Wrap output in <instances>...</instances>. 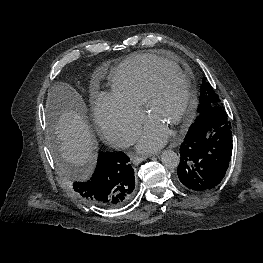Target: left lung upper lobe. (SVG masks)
<instances>
[{"label":"left lung upper lobe","mask_w":263,"mask_h":263,"mask_svg":"<svg viewBox=\"0 0 263 263\" xmlns=\"http://www.w3.org/2000/svg\"><path fill=\"white\" fill-rule=\"evenodd\" d=\"M200 104L198 106V114L199 116L196 118L195 122L190 126L189 129H193L199 120L207 114L213 107L219 106V97L218 95L214 92L212 86L210 85L209 82L206 81L205 78H203V83L200 88Z\"/></svg>","instance_id":"5c2ea615"}]
</instances>
